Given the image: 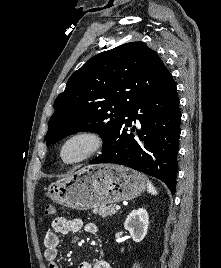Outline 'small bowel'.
I'll return each instance as SVG.
<instances>
[{"mask_svg":"<svg viewBox=\"0 0 221 268\" xmlns=\"http://www.w3.org/2000/svg\"><path fill=\"white\" fill-rule=\"evenodd\" d=\"M85 230L89 234H97L98 226L94 223H84L80 218L67 219L57 217L51 222V230L44 237V257L49 268H61L58 262L59 234L76 233ZM78 268H112L104 259L97 260L94 264L84 261Z\"/></svg>","mask_w":221,"mask_h":268,"instance_id":"small-bowel-1","label":"small bowel"}]
</instances>
